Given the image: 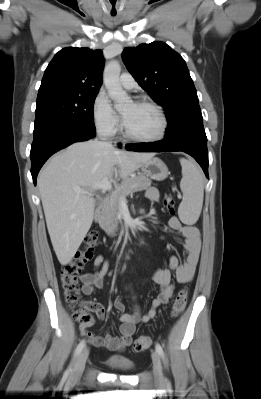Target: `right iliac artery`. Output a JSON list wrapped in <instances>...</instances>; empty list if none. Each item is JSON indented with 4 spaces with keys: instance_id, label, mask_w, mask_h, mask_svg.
<instances>
[{
    "instance_id": "obj_1",
    "label": "right iliac artery",
    "mask_w": 261,
    "mask_h": 399,
    "mask_svg": "<svg viewBox=\"0 0 261 399\" xmlns=\"http://www.w3.org/2000/svg\"><path fill=\"white\" fill-rule=\"evenodd\" d=\"M84 346H85V341L84 340L80 341V343L78 344V346H77V348L75 350L73 362L77 358V356L80 354V352L82 351ZM72 365L73 364H71V366L69 367L68 372H70L72 370Z\"/></svg>"
}]
</instances>
